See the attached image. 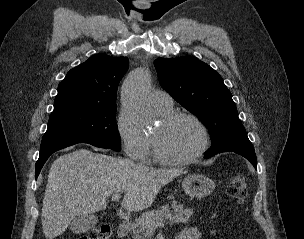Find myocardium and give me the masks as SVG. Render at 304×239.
<instances>
[{
    "label": "myocardium",
    "mask_w": 304,
    "mask_h": 239,
    "mask_svg": "<svg viewBox=\"0 0 304 239\" xmlns=\"http://www.w3.org/2000/svg\"><path fill=\"white\" fill-rule=\"evenodd\" d=\"M181 118L190 119L200 129L201 136H202V142H201L199 149L192 155L184 157V158L166 157L158 149L156 136L152 135L151 136L152 152H153V157L157 162L165 164V165H175V166L186 165V164H190V163H193V162L199 160L205 154V152L208 150V148L210 146L209 130H208L207 126L205 125V123L195 114H193L191 112H187V111H173L172 113L163 116L161 123H162L163 127H167Z\"/></svg>",
    "instance_id": "f54148a6"
}]
</instances>
